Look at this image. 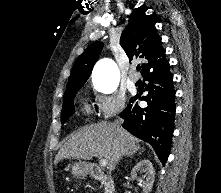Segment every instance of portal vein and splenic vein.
<instances>
[{"label":"portal vein and splenic vein","mask_w":221,"mask_h":193,"mask_svg":"<svg viewBox=\"0 0 221 193\" xmlns=\"http://www.w3.org/2000/svg\"><path fill=\"white\" fill-rule=\"evenodd\" d=\"M99 164L101 167H106L108 162L105 159H99Z\"/></svg>","instance_id":"18ae733b"}]
</instances>
